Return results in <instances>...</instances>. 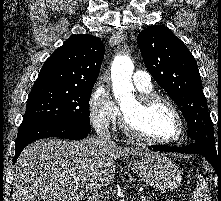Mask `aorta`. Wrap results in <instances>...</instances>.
Returning <instances> with one entry per match:
<instances>
[{"mask_svg":"<svg viewBox=\"0 0 221 201\" xmlns=\"http://www.w3.org/2000/svg\"><path fill=\"white\" fill-rule=\"evenodd\" d=\"M133 70V62L127 56H120L113 62L111 78L115 98L119 99L131 94L133 90L131 81Z\"/></svg>","mask_w":221,"mask_h":201,"instance_id":"aorta-1","label":"aorta"}]
</instances>
